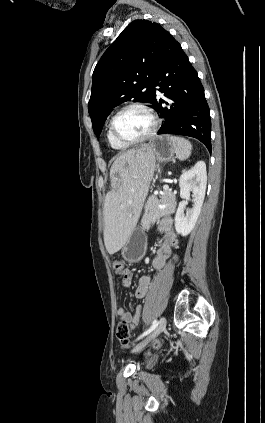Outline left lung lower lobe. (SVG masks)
<instances>
[{
    "mask_svg": "<svg viewBox=\"0 0 265 423\" xmlns=\"http://www.w3.org/2000/svg\"><path fill=\"white\" fill-rule=\"evenodd\" d=\"M155 86L168 98L158 99ZM153 107L164 118L158 134H178L200 140L211 152L210 110L204 89L181 45L169 33L154 79ZM162 103L169 107H162Z\"/></svg>",
    "mask_w": 265,
    "mask_h": 423,
    "instance_id": "obj_1",
    "label": "left lung lower lobe"
}]
</instances>
